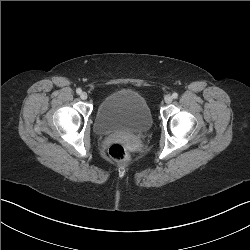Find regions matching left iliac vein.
Instances as JSON below:
<instances>
[{
  "label": "left iliac vein",
  "instance_id": "obj_1",
  "mask_svg": "<svg viewBox=\"0 0 250 250\" xmlns=\"http://www.w3.org/2000/svg\"><path fill=\"white\" fill-rule=\"evenodd\" d=\"M164 101L165 103L170 104L173 101V97L171 95H166Z\"/></svg>",
  "mask_w": 250,
  "mask_h": 250
}]
</instances>
